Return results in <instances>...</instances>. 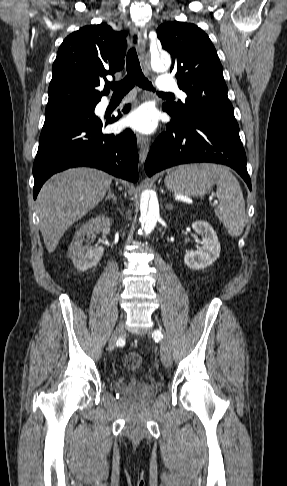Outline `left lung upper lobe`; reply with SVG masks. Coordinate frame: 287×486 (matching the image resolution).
Listing matches in <instances>:
<instances>
[{"label": "left lung upper lobe", "mask_w": 287, "mask_h": 486, "mask_svg": "<svg viewBox=\"0 0 287 486\" xmlns=\"http://www.w3.org/2000/svg\"><path fill=\"white\" fill-rule=\"evenodd\" d=\"M157 36L171 56L178 86L187 94L185 102L163 105L171 117L182 123L204 120L239 131L223 67L211 40L198 26L171 21L160 25Z\"/></svg>", "instance_id": "left-lung-upper-lobe-1"}]
</instances>
